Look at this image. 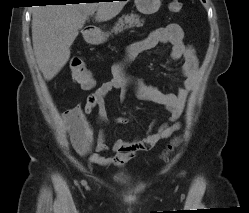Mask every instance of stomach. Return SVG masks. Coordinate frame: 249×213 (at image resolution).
<instances>
[{
    "instance_id": "1",
    "label": "stomach",
    "mask_w": 249,
    "mask_h": 213,
    "mask_svg": "<svg viewBox=\"0 0 249 213\" xmlns=\"http://www.w3.org/2000/svg\"><path fill=\"white\" fill-rule=\"evenodd\" d=\"M135 5L139 12L143 14H153L159 10L161 0H135ZM107 37L108 35L106 33L99 31L89 35L87 40L92 44H101Z\"/></svg>"
}]
</instances>
